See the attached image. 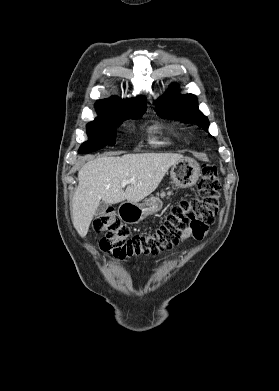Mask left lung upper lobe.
Wrapping results in <instances>:
<instances>
[{
	"label": "left lung upper lobe",
	"instance_id": "left-lung-upper-lobe-1",
	"mask_svg": "<svg viewBox=\"0 0 279 391\" xmlns=\"http://www.w3.org/2000/svg\"><path fill=\"white\" fill-rule=\"evenodd\" d=\"M155 104L157 113L161 117L185 123L195 122L206 130L209 127L208 118L198 110L197 98L193 94L167 93L160 97Z\"/></svg>",
	"mask_w": 279,
	"mask_h": 391
}]
</instances>
